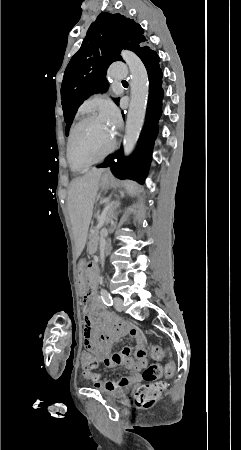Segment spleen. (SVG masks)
Returning <instances> with one entry per match:
<instances>
[{"label": "spleen", "instance_id": "1", "mask_svg": "<svg viewBox=\"0 0 241 450\" xmlns=\"http://www.w3.org/2000/svg\"><path fill=\"white\" fill-rule=\"evenodd\" d=\"M124 186L128 194H135V190L137 188V184H135V182H125Z\"/></svg>", "mask_w": 241, "mask_h": 450}]
</instances>
